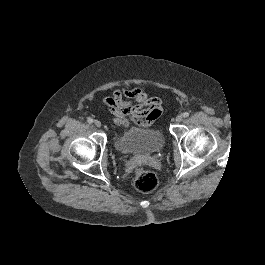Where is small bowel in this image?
<instances>
[{
	"label": "small bowel",
	"instance_id": "obj_1",
	"mask_svg": "<svg viewBox=\"0 0 265 265\" xmlns=\"http://www.w3.org/2000/svg\"><path fill=\"white\" fill-rule=\"evenodd\" d=\"M103 103L113 121L125 127L131 123L143 127L150 126L162 111L161 99L149 97L142 87L114 89L111 96L103 99Z\"/></svg>",
	"mask_w": 265,
	"mask_h": 265
}]
</instances>
